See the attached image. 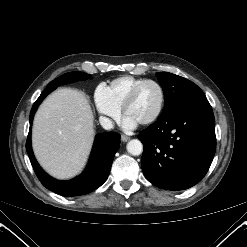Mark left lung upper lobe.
<instances>
[{
    "label": "left lung upper lobe",
    "mask_w": 247,
    "mask_h": 247,
    "mask_svg": "<svg viewBox=\"0 0 247 247\" xmlns=\"http://www.w3.org/2000/svg\"><path fill=\"white\" fill-rule=\"evenodd\" d=\"M156 75L165 96V107L162 114L170 111L188 97L204 94L196 84L181 76L168 72H158Z\"/></svg>",
    "instance_id": "1"
}]
</instances>
